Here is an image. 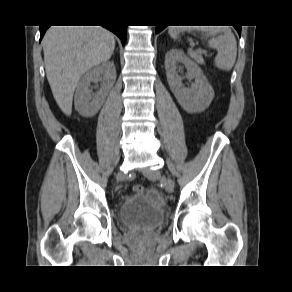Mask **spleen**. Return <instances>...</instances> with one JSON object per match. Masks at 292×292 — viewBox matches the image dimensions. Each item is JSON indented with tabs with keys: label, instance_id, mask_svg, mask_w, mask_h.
I'll return each mask as SVG.
<instances>
[{
	"label": "spleen",
	"instance_id": "3e777b00",
	"mask_svg": "<svg viewBox=\"0 0 292 292\" xmlns=\"http://www.w3.org/2000/svg\"><path fill=\"white\" fill-rule=\"evenodd\" d=\"M200 31L202 36L212 38L208 41V45L211 48L217 50L215 57V66L219 69L229 71L235 64L237 56V43L234 34L228 28H182L172 26L169 27L168 33L171 38L176 39L180 32L184 31Z\"/></svg>",
	"mask_w": 292,
	"mask_h": 292
}]
</instances>
